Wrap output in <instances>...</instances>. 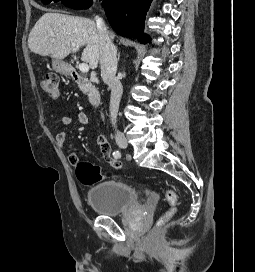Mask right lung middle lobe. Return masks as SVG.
Masks as SVG:
<instances>
[{
	"label": "right lung middle lobe",
	"mask_w": 255,
	"mask_h": 272,
	"mask_svg": "<svg viewBox=\"0 0 255 272\" xmlns=\"http://www.w3.org/2000/svg\"><path fill=\"white\" fill-rule=\"evenodd\" d=\"M44 4H49L51 1L58 2L60 0H41ZM68 7L74 9L88 8L91 5V0H61Z\"/></svg>",
	"instance_id": "1"
}]
</instances>
